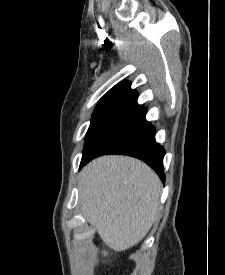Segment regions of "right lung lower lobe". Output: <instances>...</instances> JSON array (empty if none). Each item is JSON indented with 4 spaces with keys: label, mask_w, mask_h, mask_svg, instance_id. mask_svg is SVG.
Instances as JSON below:
<instances>
[{
    "label": "right lung lower lobe",
    "mask_w": 225,
    "mask_h": 275,
    "mask_svg": "<svg viewBox=\"0 0 225 275\" xmlns=\"http://www.w3.org/2000/svg\"><path fill=\"white\" fill-rule=\"evenodd\" d=\"M145 115L146 109L126 117L100 141L93 152L82 161L80 168L101 155H129L147 163L164 182L165 150L155 141V130L146 121Z\"/></svg>",
    "instance_id": "right-lung-lower-lobe-1"
}]
</instances>
